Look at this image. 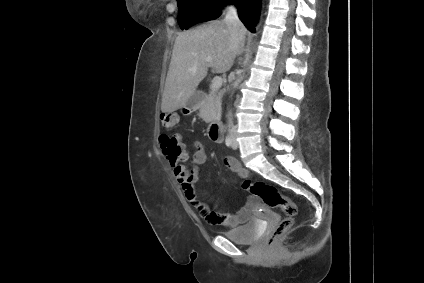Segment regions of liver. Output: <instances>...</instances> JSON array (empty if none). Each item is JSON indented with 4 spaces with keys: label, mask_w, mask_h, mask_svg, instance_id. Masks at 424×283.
Wrapping results in <instances>:
<instances>
[{
    "label": "liver",
    "mask_w": 424,
    "mask_h": 283,
    "mask_svg": "<svg viewBox=\"0 0 424 283\" xmlns=\"http://www.w3.org/2000/svg\"><path fill=\"white\" fill-rule=\"evenodd\" d=\"M246 32L245 29L244 38ZM243 47L244 39L237 50L233 49L230 31L223 20L210 21L179 33L162 95L161 111L171 113L187 105L188 99L206 77L208 67L216 73L229 71Z\"/></svg>",
    "instance_id": "liver-1"
}]
</instances>
